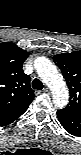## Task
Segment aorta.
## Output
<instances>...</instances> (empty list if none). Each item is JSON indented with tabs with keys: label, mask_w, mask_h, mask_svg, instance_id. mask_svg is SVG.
<instances>
[{
	"label": "aorta",
	"mask_w": 81,
	"mask_h": 155,
	"mask_svg": "<svg viewBox=\"0 0 81 155\" xmlns=\"http://www.w3.org/2000/svg\"><path fill=\"white\" fill-rule=\"evenodd\" d=\"M35 68L42 80L51 89L54 104L58 107L65 106L69 99V92L63 76L58 72L55 66L44 57L37 58Z\"/></svg>",
	"instance_id": "1"
}]
</instances>
